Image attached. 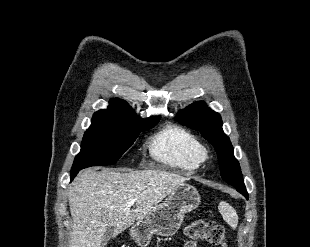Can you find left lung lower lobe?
I'll use <instances>...</instances> for the list:
<instances>
[{
    "label": "left lung lower lobe",
    "mask_w": 310,
    "mask_h": 247,
    "mask_svg": "<svg viewBox=\"0 0 310 247\" xmlns=\"http://www.w3.org/2000/svg\"><path fill=\"white\" fill-rule=\"evenodd\" d=\"M234 187L239 193H241L243 196H245L246 199H248V193L244 184L235 185Z\"/></svg>",
    "instance_id": "0a47b994"
}]
</instances>
